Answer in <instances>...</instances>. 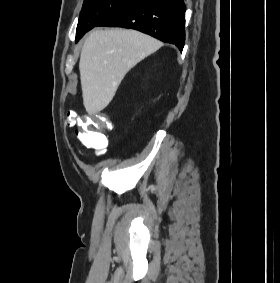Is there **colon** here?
Instances as JSON below:
<instances>
[{
    "label": "colon",
    "mask_w": 280,
    "mask_h": 283,
    "mask_svg": "<svg viewBox=\"0 0 280 283\" xmlns=\"http://www.w3.org/2000/svg\"><path fill=\"white\" fill-rule=\"evenodd\" d=\"M68 118L73 119L75 137L82 146L98 153L106 149L108 140L103 132H112V127L111 122H106L108 114H104V110H86L80 118H76L75 113H70ZM91 125L96 128H91Z\"/></svg>",
    "instance_id": "colon-1"
}]
</instances>
